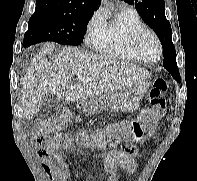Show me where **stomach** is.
<instances>
[{
	"mask_svg": "<svg viewBox=\"0 0 197 181\" xmlns=\"http://www.w3.org/2000/svg\"><path fill=\"white\" fill-rule=\"evenodd\" d=\"M149 86L150 80L146 78L119 91L105 93L91 98L88 102H82L81 107L89 114H99L106 107L115 111L134 112L139 108Z\"/></svg>",
	"mask_w": 197,
	"mask_h": 181,
	"instance_id": "1",
	"label": "stomach"
}]
</instances>
